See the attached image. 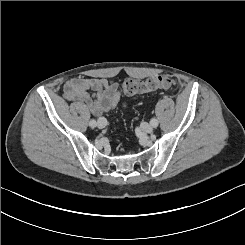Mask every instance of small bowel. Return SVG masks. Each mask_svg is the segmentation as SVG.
Returning <instances> with one entry per match:
<instances>
[{
  "label": "small bowel",
  "instance_id": "c3829d8e",
  "mask_svg": "<svg viewBox=\"0 0 245 245\" xmlns=\"http://www.w3.org/2000/svg\"><path fill=\"white\" fill-rule=\"evenodd\" d=\"M64 95L78 103L76 111L82 122L91 114L99 117L120 104L125 106L119 85L103 78L70 79L64 86Z\"/></svg>",
  "mask_w": 245,
  "mask_h": 245
}]
</instances>
